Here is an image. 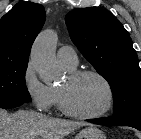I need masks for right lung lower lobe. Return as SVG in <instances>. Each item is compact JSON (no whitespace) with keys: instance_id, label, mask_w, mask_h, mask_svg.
Returning <instances> with one entry per match:
<instances>
[{"instance_id":"1","label":"right lung lower lobe","mask_w":141,"mask_h":139,"mask_svg":"<svg viewBox=\"0 0 141 139\" xmlns=\"http://www.w3.org/2000/svg\"><path fill=\"white\" fill-rule=\"evenodd\" d=\"M23 103L0 104V108L10 109L22 105Z\"/></svg>"}]
</instances>
